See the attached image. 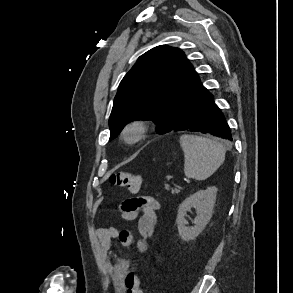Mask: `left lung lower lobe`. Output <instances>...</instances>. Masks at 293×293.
<instances>
[{
  "label": "left lung lower lobe",
  "instance_id": "1",
  "mask_svg": "<svg viewBox=\"0 0 293 293\" xmlns=\"http://www.w3.org/2000/svg\"><path fill=\"white\" fill-rule=\"evenodd\" d=\"M199 131L232 140L230 128L213 96L206 90L196 100L190 102L174 126L173 131Z\"/></svg>",
  "mask_w": 293,
  "mask_h": 293
}]
</instances>
